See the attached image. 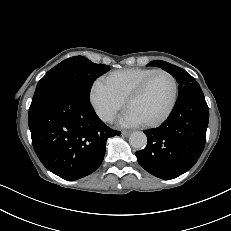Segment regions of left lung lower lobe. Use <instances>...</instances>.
I'll use <instances>...</instances> for the list:
<instances>
[{
    "label": "left lung lower lobe",
    "instance_id": "0a47b994",
    "mask_svg": "<svg viewBox=\"0 0 231 231\" xmlns=\"http://www.w3.org/2000/svg\"><path fill=\"white\" fill-rule=\"evenodd\" d=\"M208 121V106L199 84L183 86L168 119L144 132L148 143L135 153L139 164L161 179L182 175L194 166L204 149Z\"/></svg>",
    "mask_w": 231,
    "mask_h": 231
}]
</instances>
